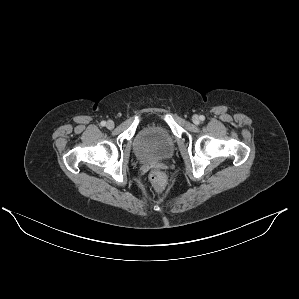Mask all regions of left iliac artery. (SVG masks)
<instances>
[{
    "label": "left iliac artery",
    "mask_w": 299,
    "mask_h": 299,
    "mask_svg": "<svg viewBox=\"0 0 299 299\" xmlns=\"http://www.w3.org/2000/svg\"><path fill=\"white\" fill-rule=\"evenodd\" d=\"M199 118H200L201 121L205 120V116H203V115H201Z\"/></svg>",
    "instance_id": "44dca946"
}]
</instances>
